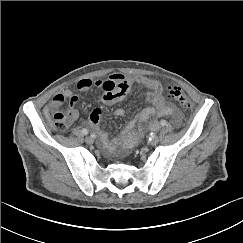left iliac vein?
I'll return each mask as SVG.
<instances>
[{"mask_svg": "<svg viewBox=\"0 0 243 243\" xmlns=\"http://www.w3.org/2000/svg\"><path fill=\"white\" fill-rule=\"evenodd\" d=\"M158 142H159V138H158L157 136H155L153 139H151V140L149 141V145H151V146H155V145L158 144Z\"/></svg>", "mask_w": 243, "mask_h": 243, "instance_id": "4c4485c4", "label": "left iliac vein"}]
</instances>
